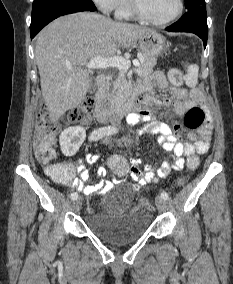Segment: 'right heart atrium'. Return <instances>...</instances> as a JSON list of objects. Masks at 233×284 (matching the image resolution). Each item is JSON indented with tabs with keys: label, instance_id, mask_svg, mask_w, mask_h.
Listing matches in <instances>:
<instances>
[{
	"label": "right heart atrium",
	"instance_id": "d8ad5b80",
	"mask_svg": "<svg viewBox=\"0 0 233 284\" xmlns=\"http://www.w3.org/2000/svg\"><path fill=\"white\" fill-rule=\"evenodd\" d=\"M122 0H93L100 10L105 13L114 11Z\"/></svg>",
	"mask_w": 233,
	"mask_h": 284
}]
</instances>
